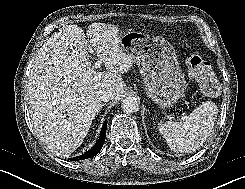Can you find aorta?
<instances>
[{
    "label": "aorta",
    "mask_w": 245,
    "mask_h": 189,
    "mask_svg": "<svg viewBox=\"0 0 245 189\" xmlns=\"http://www.w3.org/2000/svg\"><path fill=\"white\" fill-rule=\"evenodd\" d=\"M122 110L126 113H136L139 110V103L134 97H127L122 101Z\"/></svg>",
    "instance_id": "obj_1"
}]
</instances>
